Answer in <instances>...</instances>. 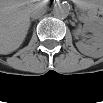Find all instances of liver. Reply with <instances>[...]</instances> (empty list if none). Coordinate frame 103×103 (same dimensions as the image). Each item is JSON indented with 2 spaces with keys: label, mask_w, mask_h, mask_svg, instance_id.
I'll return each instance as SVG.
<instances>
[{
  "label": "liver",
  "mask_w": 103,
  "mask_h": 103,
  "mask_svg": "<svg viewBox=\"0 0 103 103\" xmlns=\"http://www.w3.org/2000/svg\"><path fill=\"white\" fill-rule=\"evenodd\" d=\"M32 4L21 0L1 2L0 51L9 54L20 47L30 26Z\"/></svg>",
  "instance_id": "6515ba94"
}]
</instances>
